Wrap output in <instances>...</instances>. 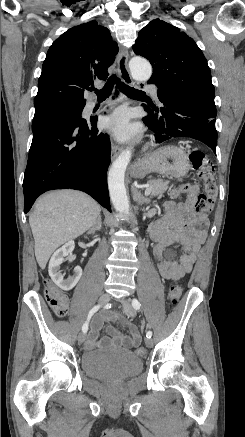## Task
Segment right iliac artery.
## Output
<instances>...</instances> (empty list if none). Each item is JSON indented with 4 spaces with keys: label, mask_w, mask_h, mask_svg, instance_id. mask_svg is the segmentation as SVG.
Instances as JSON below:
<instances>
[{
    "label": "right iliac artery",
    "mask_w": 245,
    "mask_h": 437,
    "mask_svg": "<svg viewBox=\"0 0 245 437\" xmlns=\"http://www.w3.org/2000/svg\"><path fill=\"white\" fill-rule=\"evenodd\" d=\"M99 308H100V305H96L90 310L88 317H87V320L85 321V323L82 326L83 333H86L88 331L89 321H90L91 317L94 315V313H96L99 310Z\"/></svg>",
    "instance_id": "1"
}]
</instances>
